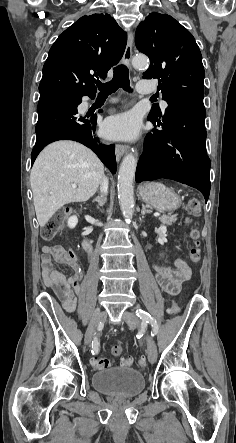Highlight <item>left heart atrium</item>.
<instances>
[{
    "label": "left heart atrium",
    "mask_w": 236,
    "mask_h": 443,
    "mask_svg": "<svg viewBox=\"0 0 236 443\" xmlns=\"http://www.w3.org/2000/svg\"><path fill=\"white\" fill-rule=\"evenodd\" d=\"M103 129L109 138L131 140L140 133V120L135 113L124 112L108 118Z\"/></svg>",
    "instance_id": "obj_1"
}]
</instances>
